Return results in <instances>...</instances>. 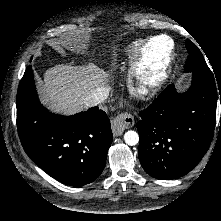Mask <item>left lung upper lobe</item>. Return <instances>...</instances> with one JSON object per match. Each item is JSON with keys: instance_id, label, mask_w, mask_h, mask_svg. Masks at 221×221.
<instances>
[{"instance_id": "obj_1", "label": "left lung upper lobe", "mask_w": 221, "mask_h": 221, "mask_svg": "<svg viewBox=\"0 0 221 221\" xmlns=\"http://www.w3.org/2000/svg\"><path fill=\"white\" fill-rule=\"evenodd\" d=\"M186 48L189 52V56L186 60L185 72L212 73L201 51L193 42L186 40Z\"/></svg>"}]
</instances>
